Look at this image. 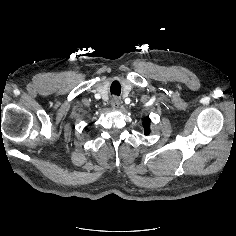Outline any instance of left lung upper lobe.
Masks as SVG:
<instances>
[{
  "label": "left lung upper lobe",
  "mask_w": 236,
  "mask_h": 236,
  "mask_svg": "<svg viewBox=\"0 0 236 236\" xmlns=\"http://www.w3.org/2000/svg\"><path fill=\"white\" fill-rule=\"evenodd\" d=\"M143 125L145 127V134L148 135L150 133V130H149V125H150V119L149 118H146L144 121H143Z\"/></svg>",
  "instance_id": "1"
}]
</instances>
